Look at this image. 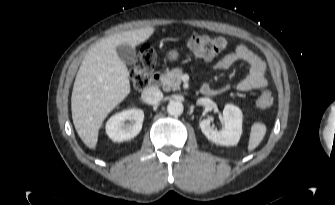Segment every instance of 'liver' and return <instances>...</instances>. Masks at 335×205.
<instances>
[{
    "instance_id": "obj_1",
    "label": "liver",
    "mask_w": 335,
    "mask_h": 205,
    "mask_svg": "<svg viewBox=\"0 0 335 205\" xmlns=\"http://www.w3.org/2000/svg\"><path fill=\"white\" fill-rule=\"evenodd\" d=\"M154 31L146 27L106 37L92 46L82 60L73 86L71 111L75 129L88 148L96 147L104 119L130 93L129 71L116 47H135Z\"/></svg>"
}]
</instances>
